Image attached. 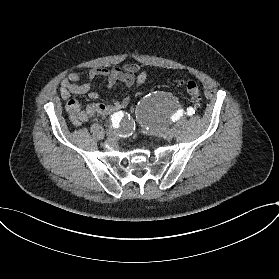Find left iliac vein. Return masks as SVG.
Masks as SVG:
<instances>
[{
	"instance_id": "obj_1",
	"label": "left iliac vein",
	"mask_w": 279,
	"mask_h": 279,
	"mask_svg": "<svg viewBox=\"0 0 279 279\" xmlns=\"http://www.w3.org/2000/svg\"><path fill=\"white\" fill-rule=\"evenodd\" d=\"M155 134L157 136H160L161 138L166 139L167 141H170L173 139L172 131L168 128H161L159 130H156Z\"/></svg>"
}]
</instances>
